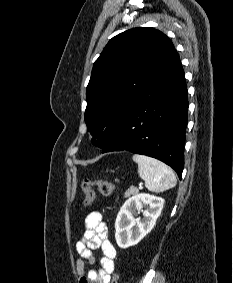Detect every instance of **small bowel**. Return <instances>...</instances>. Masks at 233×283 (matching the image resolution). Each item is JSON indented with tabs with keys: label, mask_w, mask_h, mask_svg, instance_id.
Wrapping results in <instances>:
<instances>
[{
	"label": "small bowel",
	"mask_w": 233,
	"mask_h": 283,
	"mask_svg": "<svg viewBox=\"0 0 233 283\" xmlns=\"http://www.w3.org/2000/svg\"><path fill=\"white\" fill-rule=\"evenodd\" d=\"M80 258L76 261L79 283H110L115 271L117 251L108 238V227L98 211L91 212L85 219V230L82 238L76 243ZM100 248L102 258L99 269L86 271V264H93V250Z\"/></svg>",
	"instance_id": "obj_1"
}]
</instances>
